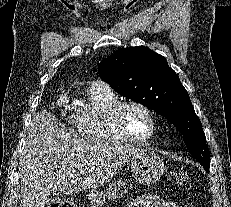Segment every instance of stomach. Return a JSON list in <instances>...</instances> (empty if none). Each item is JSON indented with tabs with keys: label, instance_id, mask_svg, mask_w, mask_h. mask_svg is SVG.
Instances as JSON below:
<instances>
[{
	"label": "stomach",
	"instance_id": "0dacf381",
	"mask_svg": "<svg viewBox=\"0 0 231 207\" xmlns=\"http://www.w3.org/2000/svg\"><path fill=\"white\" fill-rule=\"evenodd\" d=\"M130 172L136 182L151 185L157 182L164 173L165 166L161 157L148 150H139L130 157ZM128 192L126 183L115 179L108 184L105 192L91 191L88 200L91 207H104L106 200L115 201Z\"/></svg>",
	"mask_w": 231,
	"mask_h": 207
}]
</instances>
